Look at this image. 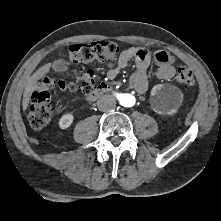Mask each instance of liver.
Instances as JSON below:
<instances>
[{
	"label": "liver",
	"instance_id": "liver-1",
	"mask_svg": "<svg viewBox=\"0 0 221 221\" xmlns=\"http://www.w3.org/2000/svg\"><path fill=\"white\" fill-rule=\"evenodd\" d=\"M51 64L47 63L39 68L29 79L23 94L22 107L25 111L29 105L31 94L37 88V82L43 78L50 70Z\"/></svg>",
	"mask_w": 221,
	"mask_h": 221
}]
</instances>
